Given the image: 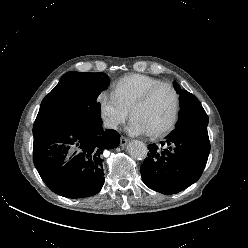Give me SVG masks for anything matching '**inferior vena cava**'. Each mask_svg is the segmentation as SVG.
Instances as JSON below:
<instances>
[{
    "label": "inferior vena cava",
    "mask_w": 248,
    "mask_h": 248,
    "mask_svg": "<svg viewBox=\"0 0 248 248\" xmlns=\"http://www.w3.org/2000/svg\"><path fill=\"white\" fill-rule=\"evenodd\" d=\"M103 124L108 129H115L116 130L118 128L117 122H115L114 120H111V119H105L103 121Z\"/></svg>",
    "instance_id": "602c4592"
}]
</instances>
